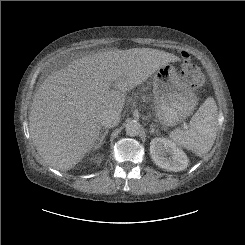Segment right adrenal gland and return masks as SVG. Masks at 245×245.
<instances>
[{
  "label": "right adrenal gland",
  "mask_w": 245,
  "mask_h": 245,
  "mask_svg": "<svg viewBox=\"0 0 245 245\" xmlns=\"http://www.w3.org/2000/svg\"><path fill=\"white\" fill-rule=\"evenodd\" d=\"M107 134H108V130L101 131V134L98 138V143L95 145L94 149H98L103 145L105 137Z\"/></svg>",
  "instance_id": "1"
}]
</instances>
